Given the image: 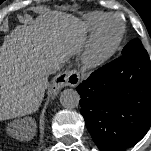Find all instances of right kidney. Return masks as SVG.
<instances>
[{
  "label": "right kidney",
  "instance_id": "obj_1",
  "mask_svg": "<svg viewBox=\"0 0 151 151\" xmlns=\"http://www.w3.org/2000/svg\"><path fill=\"white\" fill-rule=\"evenodd\" d=\"M27 134H28V133H27ZM27 134H26V135H27ZM26 135L24 136L25 139H26ZM26 140H27V139H26Z\"/></svg>",
  "mask_w": 151,
  "mask_h": 151
}]
</instances>
